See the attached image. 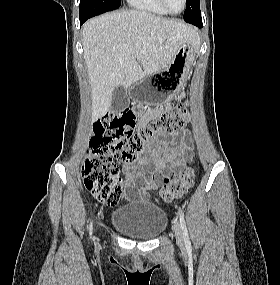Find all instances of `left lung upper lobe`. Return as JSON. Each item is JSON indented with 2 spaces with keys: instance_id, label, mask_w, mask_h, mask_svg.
Wrapping results in <instances>:
<instances>
[{
  "instance_id": "5c2ea615",
  "label": "left lung upper lobe",
  "mask_w": 280,
  "mask_h": 285,
  "mask_svg": "<svg viewBox=\"0 0 280 285\" xmlns=\"http://www.w3.org/2000/svg\"><path fill=\"white\" fill-rule=\"evenodd\" d=\"M184 20L191 24L202 21L199 0H186Z\"/></svg>"
}]
</instances>
